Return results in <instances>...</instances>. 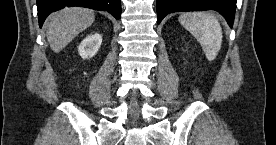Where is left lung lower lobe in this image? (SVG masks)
Masks as SVG:
<instances>
[{"label": "left lung lower lobe", "mask_w": 276, "mask_h": 145, "mask_svg": "<svg viewBox=\"0 0 276 145\" xmlns=\"http://www.w3.org/2000/svg\"><path fill=\"white\" fill-rule=\"evenodd\" d=\"M213 9L222 14L229 26L232 28L236 0H157L156 10L158 24L169 13L179 11H200Z\"/></svg>", "instance_id": "1"}]
</instances>
